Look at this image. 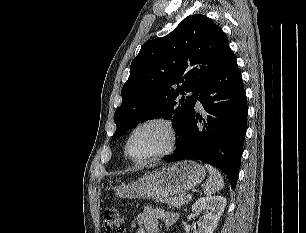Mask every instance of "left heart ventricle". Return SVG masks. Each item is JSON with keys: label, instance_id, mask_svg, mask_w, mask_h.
Here are the masks:
<instances>
[{"label": "left heart ventricle", "instance_id": "b2bd125f", "mask_svg": "<svg viewBox=\"0 0 306 233\" xmlns=\"http://www.w3.org/2000/svg\"><path fill=\"white\" fill-rule=\"evenodd\" d=\"M169 141L168 132L160 124L140 128L132 136L128 150L132 157L142 158L164 150Z\"/></svg>", "mask_w": 306, "mask_h": 233}]
</instances>
